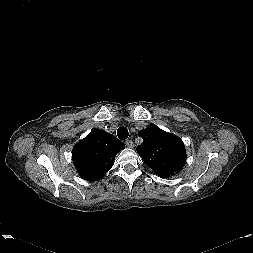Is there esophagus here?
Segmentation results:
<instances>
[{"instance_id":"obj_1","label":"esophagus","mask_w":253,"mask_h":253,"mask_svg":"<svg viewBox=\"0 0 253 253\" xmlns=\"http://www.w3.org/2000/svg\"><path fill=\"white\" fill-rule=\"evenodd\" d=\"M125 144H126V146H127L128 148H133V147H134V143H133L132 140H127V141L125 142Z\"/></svg>"}]
</instances>
